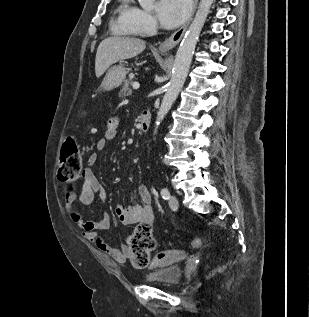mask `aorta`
Masks as SVG:
<instances>
[{
  "label": "aorta",
  "instance_id": "aorta-1",
  "mask_svg": "<svg viewBox=\"0 0 309 317\" xmlns=\"http://www.w3.org/2000/svg\"><path fill=\"white\" fill-rule=\"evenodd\" d=\"M138 1L140 6L145 10L149 11L154 8L155 0ZM213 2L214 0H200L199 7L194 17V20L192 21L187 32L185 33L184 38L180 43V46L175 56L171 79L167 84L166 92L157 114L154 135L157 132L158 125L171 109L174 101L176 100L179 92L181 91L185 83L197 41L199 39L201 30L204 26V23L206 21V18L209 14Z\"/></svg>",
  "mask_w": 309,
  "mask_h": 317
}]
</instances>
